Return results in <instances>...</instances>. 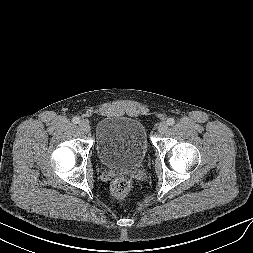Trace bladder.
<instances>
[{
  "mask_svg": "<svg viewBox=\"0 0 253 253\" xmlns=\"http://www.w3.org/2000/svg\"><path fill=\"white\" fill-rule=\"evenodd\" d=\"M149 148L145 126L123 116H105L95 127V149L107 168H135L141 165Z\"/></svg>",
  "mask_w": 253,
  "mask_h": 253,
  "instance_id": "obj_1",
  "label": "bladder"
}]
</instances>
